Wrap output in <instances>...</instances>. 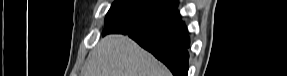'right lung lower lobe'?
I'll return each instance as SVG.
<instances>
[{
	"mask_svg": "<svg viewBox=\"0 0 287 76\" xmlns=\"http://www.w3.org/2000/svg\"><path fill=\"white\" fill-rule=\"evenodd\" d=\"M127 35L162 61L174 76H187L190 41L176 7L147 29Z\"/></svg>",
	"mask_w": 287,
	"mask_h": 76,
	"instance_id": "right-lung-lower-lobe-1",
	"label": "right lung lower lobe"
}]
</instances>
